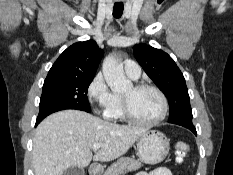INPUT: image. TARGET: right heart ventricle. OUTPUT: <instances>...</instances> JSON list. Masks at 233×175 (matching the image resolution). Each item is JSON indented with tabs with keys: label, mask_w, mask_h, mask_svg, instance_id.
<instances>
[{
	"label": "right heart ventricle",
	"mask_w": 233,
	"mask_h": 175,
	"mask_svg": "<svg viewBox=\"0 0 233 175\" xmlns=\"http://www.w3.org/2000/svg\"><path fill=\"white\" fill-rule=\"evenodd\" d=\"M104 116L108 120H124L121 97L114 95V101L109 108L104 111Z\"/></svg>",
	"instance_id": "obj_1"
}]
</instances>
